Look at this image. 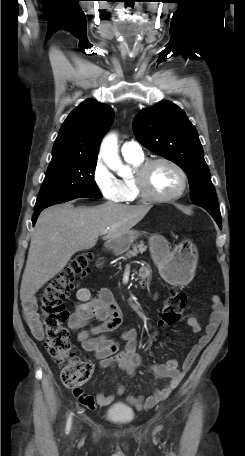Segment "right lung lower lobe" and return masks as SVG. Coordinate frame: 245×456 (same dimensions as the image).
Masks as SVG:
<instances>
[{
    "instance_id": "right-lung-lower-lobe-1",
    "label": "right lung lower lobe",
    "mask_w": 245,
    "mask_h": 456,
    "mask_svg": "<svg viewBox=\"0 0 245 456\" xmlns=\"http://www.w3.org/2000/svg\"><path fill=\"white\" fill-rule=\"evenodd\" d=\"M42 210H43V209L37 210V211L34 212L33 217H32V223H33V224H35V222H36V220H37V218H38V216H39V214H40V212H41Z\"/></svg>"
}]
</instances>
